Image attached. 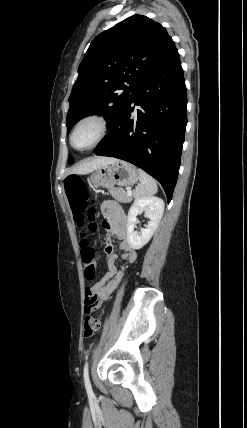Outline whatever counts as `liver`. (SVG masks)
I'll list each match as a JSON object with an SVG mask.
<instances>
[{
  "mask_svg": "<svg viewBox=\"0 0 247 428\" xmlns=\"http://www.w3.org/2000/svg\"><path fill=\"white\" fill-rule=\"evenodd\" d=\"M116 161L117 159L112 157H97L81 163L72 170V173L88 174L101 166L108 165Z\"/></svg>",
  "mask_w": 247,
  "mask_h": 428,
  "instance_id": "obj_1",
  "label": "liver"
}]
</instances>
